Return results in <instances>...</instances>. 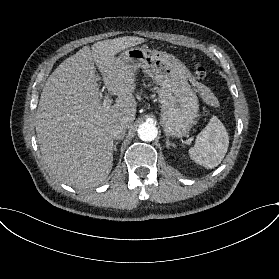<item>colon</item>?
<instances>
[{
	"instance_id": "5ec220e1",
	"label": "colon",
	"mask_w": 279,
	"mask_h": 279,
	"mask_svg": "<svg viewBox=\"0 0 279 279\" xmlns=\"http://www.w3.org/2000/svg\"><path fill=\"white\" fill-rule=\"evenodd\" d=\"M194 75L197 80L202 81L206 78L207 71L201 64L197 63L194 67Z\"/></svg>"
}]
</instances>
